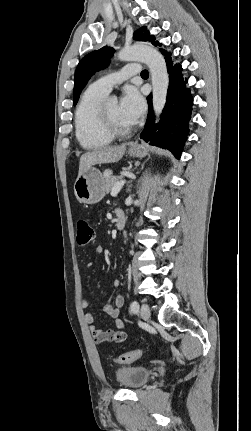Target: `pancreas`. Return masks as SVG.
I'll use <instances>...</instances> for the list:
<instances>
[{
	"label": "pancreas",
	"mask_w": 251,
	"mask_h": 431,
	"mask_svg": "<svg viewBox=\"0 0 251 431\" xmlns=\"http://www.w3.org/2000/svg\"><path fill=\"white\" fill-rule=\"evenodd\" d=\"M111 171H106L104 173V178H105V188H106V192L109 193L113 186L115 185V183L118 181V179L120 177L117 176H112L111 175ZM125 175V172H122V176Z\"/></svg>",
	"instance_id": "cf45deb5"
}]
</instances>
